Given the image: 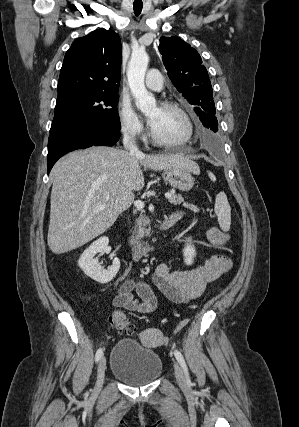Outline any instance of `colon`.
I'll list each match as a JSON object with an SVG mask.
<instances>
[{"label":"colon","instance_id":"1","mask_svg":"<svg viewBox=\"0 0 299 427\" xmlns=\"http://www.w3.org/2000/svg\"><path fill=\"white\" fill-rule=\"evenodd\" d=\"M112 323L119 332L126 334H134L135 332L134 326L122 312H115L113 314Z\"/></svg>","mask_w":299,"mask_h":427}]
</instances>
